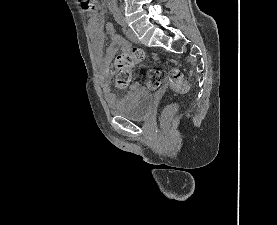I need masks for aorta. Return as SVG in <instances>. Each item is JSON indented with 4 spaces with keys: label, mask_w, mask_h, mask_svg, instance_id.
Returning <instances> with one entry per match:
<instances>
[{
    "label": "aorta",
    "mask_w": 277,
    "mask_h": 225,
    "mask_svg": "<svg viewBox=\"0 0 277 225\" xmlns=\"http://www.w3.org/2000/svg\"><path fill=\"white\" fill-rule=\"evenodd\" d=\"M111 11H112L115 19H119L121 17L120 10H119L115 0H112Z\"/></svg>",
    "instance_id": "1"
}]
</instances>
